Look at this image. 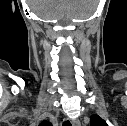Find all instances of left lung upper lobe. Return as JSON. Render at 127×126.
I'll use <instances>...</instances> for the list:
<instances>
[{
  "instance_id": "1",
  "label": "left lung upper lobe",
  "mask_w": 127,
  "mask_h": 126,
  "mask_svg": "<svg viewBox=\"0 0 127 126\" xmlns=\"http://www.w3.org/2000/svg\"><path fill=\"white\" fill-rule=\"evenodd\" d=\"M90 120H91V126H108L106 121L103 120L98 115L91 116Z\"/></svg>"
}]
</instances>
